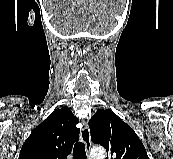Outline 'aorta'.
Returning a JSON list of instances; mask_svg holds the SVG:
<instances>
[{
	"instance_id": "1",
	"label": "aorta",
	"mask_w": 173,
	"mask_h": 159,
	"mask_svg": "<svg viewBox=\"0 0 173 159\" xmlns=\"http://www.w3.org/2000/svg\"><path fill=\"white\" fill-rule=\"evenodd\" d=\"M91 159H105L106 152L103 147H94L90 152Z\"/></svg>"
}]
</instances>
